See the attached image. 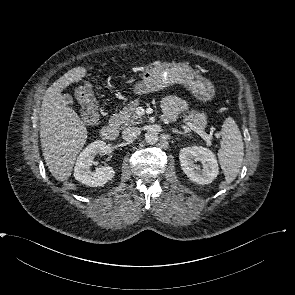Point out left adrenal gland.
Instances as JSON below:
<instances>
[{"mask_svg": "<svg viewBox=\"0 0 295 295\" xmlns=\"http://www.w3.org/2000/svg\"><path fill=\"white\" fill-rule=\"evenodd\" d=\"M172 132L173 133H176V134H180V135H185V136L190 135L186 131L185 132H182V131H179V130L174 129V128L172 129Z\"/></svg>", "mask_w": 295, "mask_h": 295, "instance_id": "obj_1", "label": "left adrenal gland"}]
</instances>
